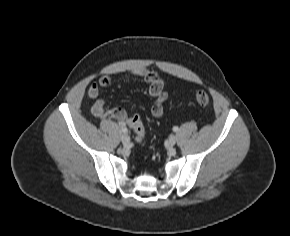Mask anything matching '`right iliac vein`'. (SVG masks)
Wrapping results in <instances>:
<instances>
[{"label": "right iliac vein", "mask_w": 290, "mask_h": 236, "mask_svg": "<svg viewBox=\"0 0 290 236\" xmlns=\"http://www.w3.org/2000/svg\"><path fill=\"white\" fill-rule=\"evenodd\" d=\"M121 141L124 145H128L130 143V137L127 133L122 134Z\"/></svg>", "instance_id": "obj_1"}]
</instances>
